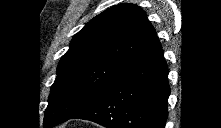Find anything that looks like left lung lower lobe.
Here are the masks:
<instances>
[{
	"label": "left lung lower lobe",
	"mask_w": 221,
	"mask_h": 128,
	"mask_svg": "<svg viewBox=\"0 0 221 128\" xmlns=\"http://www.w3.org/2000/svg\"><path fill=\"white\" fill-rule=\"evenodd\" d=\"M169 95L168 68L158 41L101 98L71 119L107 128H164Z\"/></svg>",
	"instance_id": "left-lung-lower-lobe-1"
}]
</instances>
